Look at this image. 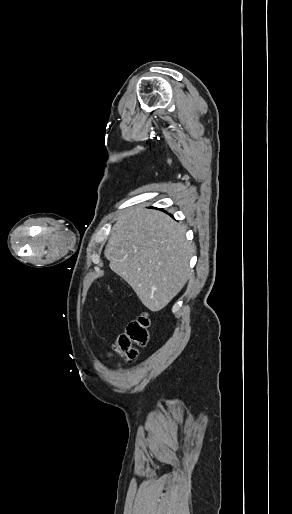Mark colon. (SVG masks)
<instances>
[{
    "label": "colon",
    "mask_w": 292,
    "mask_h": 514,
    "mask_svg": "<svg viewBox=\"0 0 292 514\" xmlns=\"http://www.w3.org/2000/svg\"><path fill=\"white\" fill-rule=\"evenodd\" d=\"M151 318L148 315L137 317L112 345V351L121 355L126 361H134L137 347H145L150 339Z\"/></svg>",
    "instance_id": "colon-1"
}]
</instances>
